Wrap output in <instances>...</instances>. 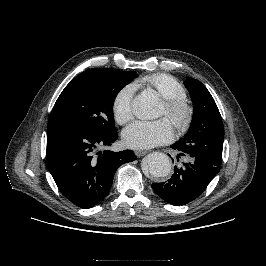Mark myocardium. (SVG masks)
I'll use <instances>...</instances> for the list:
<instances>
[{"label":"myocardium","mask_w":266,"mask_h":266,"mask_svg":"<svg viewBox=\"0 0 266 266\" xmlns=\"http://www.w3.org/2000/svg\"><path fill=\"white\" fill-rule=\"evenodd\" d=\"M165 116L179 131H186L194 117V108L186 98L165 99Z\"/></svg>","instance_id":"1"}]
</instances>
